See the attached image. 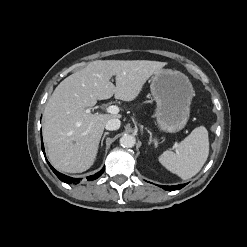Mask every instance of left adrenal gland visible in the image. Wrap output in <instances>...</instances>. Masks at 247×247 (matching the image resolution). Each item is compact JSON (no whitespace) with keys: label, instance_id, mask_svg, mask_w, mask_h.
<instances>
[{"label":"left adrenal gland","instance_id":"obj_1","mask_svg":"<svg viewBox=\"0 0 247 247\" xmlns=\"http://www.w3.org/2000/svg\"><path fill=\"white\" fill-rule=\"evenodd\" d=\"M145 129L147 130V132H148L149 135H150L148 144L151 145V144L153 143L154 146L157 147V145L159 144V143H158V140L155 139V138H153L152 132H151L149 129H147V128H145Z\"/></svg>","mask_w":247,"mask_h":247}]
</instances>
